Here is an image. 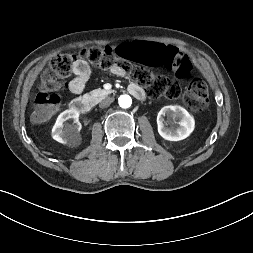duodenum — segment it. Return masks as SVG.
Masks as SVG:
<instances>
[{
  "mask_svg": "<svg viewBox=\"0 0 253 253\" xmlns=\"http://www.w3.org/2000/svg\"><path fill=\"white\" fill-rule=\"evenodd\" d=\"M128 91L136 98L143 99L144 92L143 90L135 84H131L128 87ZM98 98L92 96H83L75 98L70 103V108L81 114H87L92 111L97 103Z\"/></svg>",
  "mask_w": 253,
  "mask_h": 253,
  "instance_id": "duodenum-1",
  "label": "duodenum"
}]
</instances>
